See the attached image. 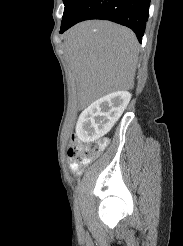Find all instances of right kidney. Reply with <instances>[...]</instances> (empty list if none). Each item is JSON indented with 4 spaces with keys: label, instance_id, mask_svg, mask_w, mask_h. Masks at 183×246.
Wrapping results in <instances>:
<instances>
[{
    "label": "right kidney",
    "instance_id": "obj_1",
    "mask_svg": "<svg viewBox=\"0 0 183 246\" xmlns=\"http://www.w3.org/2000/svg\"><path fill=\"white\" fill-rule=\"evenodd\" d=\"M131 99L127 91L110 93L87 107L79 116L76 134L83 142H93L107 134L123 114Z\"/></svg>",
    "mask_w": 183,
    "mask_h": 246
}]
</instances>
